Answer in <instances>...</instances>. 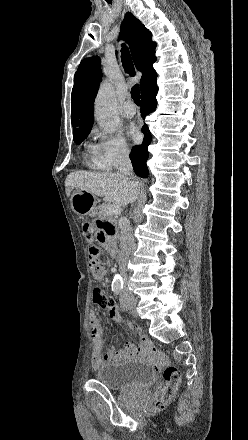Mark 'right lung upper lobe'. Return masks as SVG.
<instances>
[{"instance_id":"right-lung-upper-lobe-1","label":"right lung upper lobe","mask_w":248,"mask_h":440,"mask_svg":"<svg viewBox=\"0 0 248 440\" xmlns=\"http://www.w3.org/2000/svg\"><path fill=\"white\" fill-rule=\"evenodd\" d=\"M128 43L136 68L142 71L140 80L141 94L149 86L156 84L157 74L153 68L156 61L155 42L152 34L131 13H126L122 22L121 33ZM101 68L98 57L81 61L74 76L72 89L71 122L74 134L91 130L94 117V97L101 81Z\"/></svg>"}]
</instances>
